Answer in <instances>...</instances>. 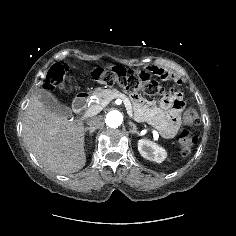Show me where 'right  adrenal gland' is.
I'll return each mask as SVG.
<instances>
[{"label":"right adrenal gland","instance_id":"right-adrenal-gland-1","mask_svg":"<svg viewBox=\"0 0 236 236\" xmlns=\"http://www.w3.org/2000/svg\"><path fill=\"white\" fill-rule=\"evenodd\" d=\"M96 130V128H85V134L89 132V136H92L93 132Z\"/></svg>","mask_w":236,"mask_h":236}]
</instances>
